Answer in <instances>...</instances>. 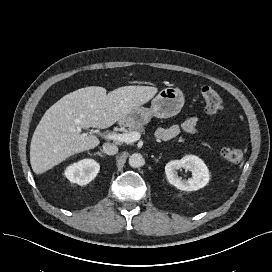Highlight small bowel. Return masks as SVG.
<instances>
[{
	"mask_svg": "<svg viewBox=\"0 0 272 272\" xmlns=\"http://www.w3.org/2000/svg\"><path fill=\"white\" fill-rule=\"evenodd\" d=\"M200 120L197 117L187 118L181 125H171L165 128H159L156 131V137L159 140L166 141L176 137L181 131L190 134H196L199 131Z\"/></svg>",
	"mask_w": 272,
	"mask_h": 272,
	"instance_id": "obj_1",
	"label": "small bowel"
}]
</instances>
